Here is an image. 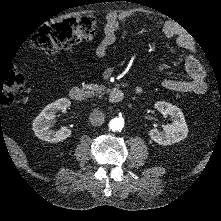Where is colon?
<instances>
[{"label": "colon", "instance_id": "1", "mask_svg": "<svg viewBox=\"0 0 221 221\" xmlns=\"http://www.w3.org/2000/svg\"><path fill=\"white\" fill-rule=\"evenodd\" d=\"M96 35V19L92 16L66 19L45 25L33 36V44L47 55L69 49L81 41H91ZM0 103L10 104L25 92L24 78L15 71L0 79Z\"/></svg>", "mask_w": 221, "mask_h": 221}]
</instances>
